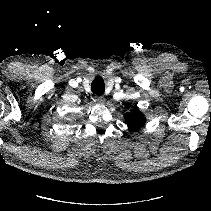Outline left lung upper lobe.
Wrapping results in <instances>:
<instances>
[{"instance_id":"left-lung-upper-lobe-1","label":"left lung upper lobe","mask_w":211,"mask_h":211,"mask_svg":"<svg viewBox=\"0 0 211 211\" xmlns=\"http://www.w3.org/2000/svg\"><path fill=\"white\" fill-rule=\"evenodd\" d=\"M125 120L128 122L130 131H136L145 124V117L137 107H133L130 114H125Z\"/></svg>"}]
</instances>
